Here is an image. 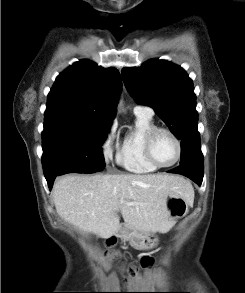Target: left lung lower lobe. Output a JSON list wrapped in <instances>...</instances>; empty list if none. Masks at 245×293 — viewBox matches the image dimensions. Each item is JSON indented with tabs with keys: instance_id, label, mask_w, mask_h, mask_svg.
<instances>
[{
	"instance_id": "0a47b994",
	"label": "left lung lower lobe",
	"mask_w": 245,
	"mask_h": 293,
	"mask_svg": "<svg viewBox=\"0 0 245 293\" xmlns=\"http://www.w3.org/2000/svg\"><path fill=\"white\" fill-rule=\"evenodd\" d=\"M168 172L184 175L200 186L203 180L204 169L190 165H180L179 167Z\"/></svg>"
}]
</instances>
